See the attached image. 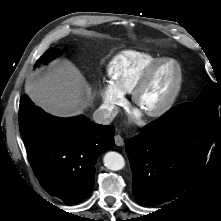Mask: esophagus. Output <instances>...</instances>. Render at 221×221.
Returning a JSON list of instances; mask_svg holds the SVG:
<instances>
[{
	"mask_svg": "<svg viewBox=\"0 0 221 221\" xmlns=\"http://www.w3.org/2000/svg\"><path fill=\"white\" fill-rule=\"evenodd\" d=\"M114 140H115V144L117 146H123L124 145V139L120 135H115Z\"/></svg>",
	"mask_w": 221,
	"mask_h": 221,
	"instance_id": "1",
	"label": "esophagus"
}]
</instances>
